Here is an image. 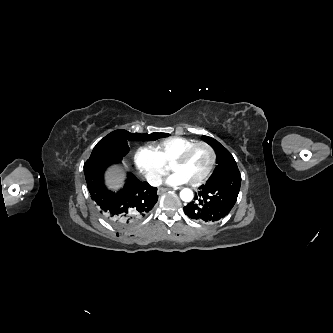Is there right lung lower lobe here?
<instances>
[{
	"label": "right lung lower lobe",
	"instance_id": "98d812e1",
	"mask_svg": "<svg viewBox=\"0 0 333 333\" xmlns=\"http://www.w3.org/2000/svg\"><path fill=\"white\" fill-rule=\"evenodd\" d=\"M121 159L115 157H92L84 164V174L92 200L102 216L118 227L132 225L145 217L158 200L157 188L141 182L128 173L124 188L117 193L104 184V172Z\"/></svg>",
	"mask_w": 333,
	"mask_h": 333
}]
</instances>
